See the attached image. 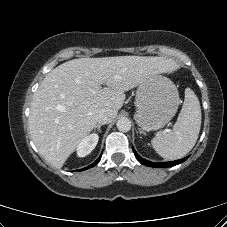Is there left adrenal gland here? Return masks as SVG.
Returning a JSON list of instances; mask_svg holds the SVG:
<instances>
[{"mask_svg": "<svg viewBox=\"0 0 227 227\" xmlns=\"http://www.w3.org/2000/svg\"><path fill=\"white\" fill-rule=\"evenodd\" d=\"M139 133H140V134H144V132H143L141 129H139Z\"/></svg>", "mask_w": 227, "mask_h": 227, "instance_id": "left-adrenal-gland-1", "label": "left adrenal gland"}]
</instances>
